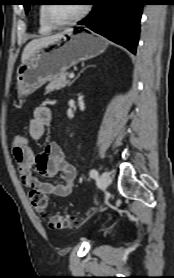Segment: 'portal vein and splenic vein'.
I'll return each instance as SVG.
<instances>
[{"mask_svg":"<svg viewBox=\"0 0 174 278\" xmlns=\"http://www.w3.org/2000/svg\"><path fill=\"white\" fill-rule=\"evenodd\" d=\"M69 78H70V79L74 78V73H71V74L69 75Z\"/></svg>","mask_w":174,"mask_h":278,"instance_id":"obj_1","label":"portal vein and splenic vein"}]
</instances>
